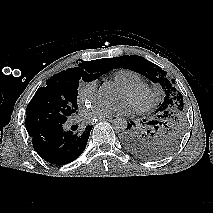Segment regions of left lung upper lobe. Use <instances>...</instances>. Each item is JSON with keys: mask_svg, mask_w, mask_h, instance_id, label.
Segmentation results:
<instances>
[{"mask_svg": "<svg viewBox=\"0 0 213 213\" xmlns=\"http://www.w3.org/2000/svg\"><path fill=\"white\" fill-rule=\"evenodd\" d=\"M109 68H126L159 83L165 98L158 105L155 116L138 128L134 142L127 148L145 159H161L172 153L179 145L186 127L185 106L182 94L175 88L174 80L166 77L164 71L141 56L125 55L108 59Z\"/></svg>", "mask_w": 213, "mask_h": 213, "instance_id": "5c2ea615", "label": "left lung upper lobe"}]
</instances>
